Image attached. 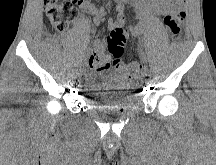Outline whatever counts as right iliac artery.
<instances>
[{"label":"right iliac artery","mask_w":216,"mask_h":165,"mask_svg":"<svg viewBox=\"0 0 216 165\" xmlns=\"http://www.w3.org/2000/svg\"><path fill=\"white\" fill-rule=\"evenodd\" d=\"M80 68L82 67V66H84V60L83 59H80L79 60V65H78Z\"/></svg>","instance_id":"obj_1"}]
</instances>
